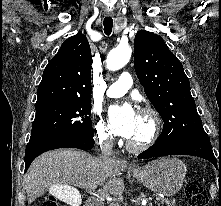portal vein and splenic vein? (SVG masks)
<instances>
[{"label":"portal vein and splenic vein","mask_w":221,"mask_h":206,"mask_svg":"<svg viewBox=\"0 0 221 206\" xmlns=\"http://www.w3.org/2000/svg\"><path fill=\"white\" fill-rule=\"evenodd\" d=\"M55 192H59V188L56 187L54 189ZM88 193H94L95 191V187H91V188H88L87 189ZM97 197L100 198V199H105V198H108L109 195L107 192H105L104 190L103 191H97ZM156 200H159L158 198H156Z\"/></svg>","instance_id":"portal-vein-and-splenic-vein-1"}]
</instances>
